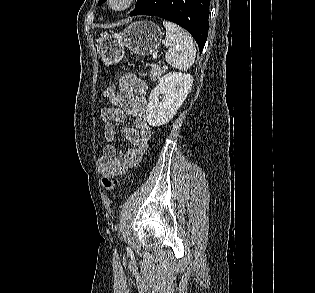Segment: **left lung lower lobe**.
I'll return each mask as SVG.
<instances>
[{
    "instance_id": "left-lung-lower-lobe-1",
    "label": "left lung lower lobe",
    "mask_w": 315,
    "mask_h": 293,
    "mask_svg": "<svg viewBox=\"0 0 315 293\" xmlns=\"http://www.w3.org/2000/svg\"><path fill=\"white\" fill-rule=\"evenodd\" d=\"M158 16L185 28L200 52L207 40L209 0H144L131 14Z\"/></svg>"
}]
</instances>
